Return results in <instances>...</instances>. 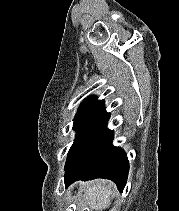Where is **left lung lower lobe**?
I'll list each match as a JSON object with an SVG mask.
<instances>
[{"instance_id":"0a47b994","label":"left lung lower lobe","mask_w":179,"mask_h":211,"mask_svg":"<svg viewBox=\"0 0 179 211\" xmlns=\"http://www.w3.org/2000/svg\"><path fill=\"white\" fill-rule=\"evenodd\" d=\"M109 117L106 111L100 115L65 166L66 187L77 180L106 178L114 181L123 191L129 162L123 149L112 145L113 131L106 128Z\"/></svg>"}]
</instances>
